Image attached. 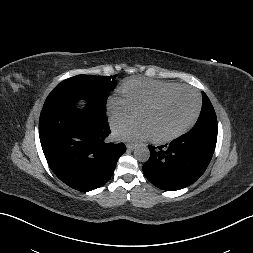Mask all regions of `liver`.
I'll return each instance as SVG.
<instances>
[{"mask_svg":"<svg viewBox=\"0 0 253 253\" xmlns=\"http://www.w3.org/2000/svg\"><path fill=\"white\" fill-rule=\"evenodd\" d=\"M84 103L83 101H80V104Z\"/></svg>","mask_w":253,"mask_h":253,"instance_id":"liver-1","label":"liver"}]
</instances>
